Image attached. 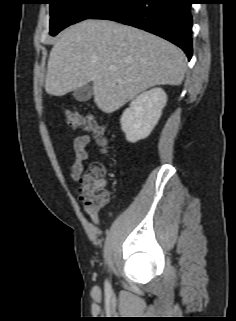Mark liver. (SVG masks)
<instances>
[{
	"mask_svg": "<svg viewBox=\"0 0 236 321\" xmlns=\"http://www.w3.org/2000/svg\"><path fill=\"white\" fill-rule=\"evenodd\" d=\"M186 66L184 52L161 37L87 19L65 29L54 43L45 90L63 96L92 82L95 104L112 113L152 86L180 85Z\"/></svg>",
	"mask_w": 236,
	"mask_h": 321,
	"instance_id": "6515ba94",
	"label": "liver"
}]
</instances>
